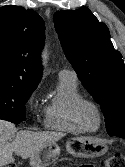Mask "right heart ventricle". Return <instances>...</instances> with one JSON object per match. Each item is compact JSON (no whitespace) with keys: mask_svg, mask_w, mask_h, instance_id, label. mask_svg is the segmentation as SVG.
I'll use <instances>...</instances> for the list:
<instances>
[{"mask_svg":"<svg viewBox=\"0 0 125 167\" xmlns=\"http://www.w3.org/2000/svg\"><path fill=\"white\" fill-rule=\"evenodd\" d=\"M82 98L76 78H59L56 91L45 107L44 127L70 134L80 133L82 130L74 120L73 107Z\"/></svg>","mask_w":125,"mask_h":167,"instance_id":"obj_1","label":"right heart ventricle"}]
</instances>
